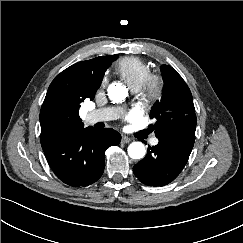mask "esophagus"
<instances>
[{"label":"esophagus","mask_w":243,"mask_h":243,"mask_svg":"<svg viewBox=\"0 0 243 243\" xmlns=\"http://www.w3.org/2000/svg\"><path fill=\"white\" fill-rule=\"evenodd\" d=\"M131 138L130 137H128V136H122V138H121V143H129V142H131Z\"/></svg>","instance_id":"34e87169"}]
</instances>
